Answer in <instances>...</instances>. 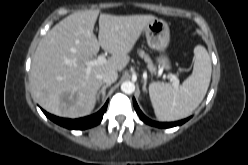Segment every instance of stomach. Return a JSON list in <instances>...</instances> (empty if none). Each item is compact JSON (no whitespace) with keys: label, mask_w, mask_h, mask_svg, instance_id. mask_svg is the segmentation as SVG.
<instances>
[{"label":"stomach","mask_w":248,"mask_h":165,"mask_svg":"<svg viewBox=\"0 0 248 165\" xmlns=\"http://www.w3.org/2000/svg\"><path fill=\"white\" fill-rule=\"evenodd\" d=\"M148 46L160 53L157 63L165 70L171 68L170 60L165 51L170 42V30L168 24L162 19L152 20L144 29Z\"/></svg>","instance_id":"1"}]
</instances>
